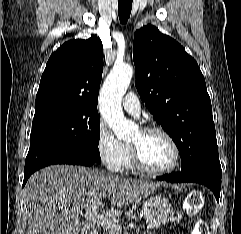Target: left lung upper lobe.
Wrapping results in <instances>:
<instances>
[{
  "mask_svg": "<svg viewBox=\"0 0 241 234\" xmlns=\"http://www.w3.org/2000/svg\"><path fill=\"white\" fill-rule=\"evenodd\" d=\"M133 60L140 98L177 145L181 171H220L211 101L196 61L152 25L135 32Z\"/></svg>",
  "mask_w": 241,
  "mask_h": 234,
  "instance_id": "obj_1",
  "label": "left lung upper lobe"
}]
</instances>
